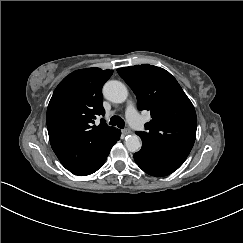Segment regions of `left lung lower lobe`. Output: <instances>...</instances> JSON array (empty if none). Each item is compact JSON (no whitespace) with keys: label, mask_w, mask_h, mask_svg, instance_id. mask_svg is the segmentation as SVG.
Masks as SVG:
<instances>
[{"label":"left lung lower lobe","mask_w":243,"mask_h":243,"mask_svg":"<svg viewBox=\"0 0 243 243\" xmlns=\"http://www.w3.org/2000/svg\"><path fill=\"white\" fill-rule=\"evenodd\" d=\"M187 156L164 151L143 143L139 152L134 154L136 164L147 174L163 177L176 171Z\"/></svg>","instance_id":"1"}]
</instances>
